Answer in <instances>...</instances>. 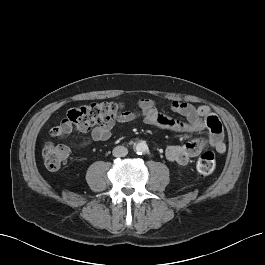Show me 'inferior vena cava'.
I'll return each instance as SVG.
<instances>
[{"instance_id": "inferior-vena-cava-1", "label": "inferior vena cava", "mask_w": 265, "mask_h": 265, "mask_svg": "<svg viewBox=\"0 0 265 265\" xmlns=\"http://www.w3.org/2000/svg\"><path fill=\"white\" fill-rule=\"evenodd\" d=\"M112 152L114 157H124L128 154V149L124 146H116Z\"/></svg>"}]
</instances>
